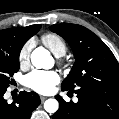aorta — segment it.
Segmentation results:
<instances>
[{"mask_svg": "<svg viewBox=\"0 0 119 119\" xmlns=\"http://www.w3.org/2000/svg\"><path fill=\"white\" fill-rule=\"evenodd\" d=\"M31 62L33 66L40 69H49L53 66L54 60L49 51L42 47L36 48L31 54ZM59 108V103L56 99H48L44 103V109L48 113H55Z\"/></svg>", "mask_w": 119, "mask_h": 119, "instance_id": "obj_1", "label": "aorta"}]
</instances>
